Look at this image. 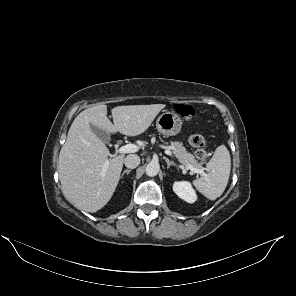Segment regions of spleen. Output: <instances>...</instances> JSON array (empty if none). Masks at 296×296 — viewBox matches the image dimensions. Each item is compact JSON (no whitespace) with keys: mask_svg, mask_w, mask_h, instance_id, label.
<instances>
[{"mask_svg":"<svg viewBox=\"0 0 296 296\" xmlns=\"http://www.w3.org/2000/svg\"><path fill=\"white\" fill-rule=\"evenodd\" d=\"M206 170L207 173L195 179L193 185L205 197L215 200L223 194L231 171L230 153L225 145L216 148Z\"/></svg>","mask_w":296,"mask_h":296,"instance_id":"spleen-1","label":"spleen"}]
</instances>
